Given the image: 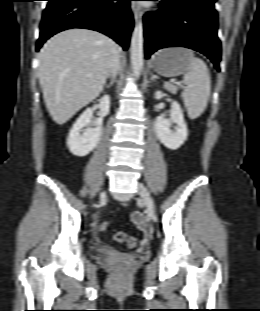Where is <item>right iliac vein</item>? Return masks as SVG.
<instances>
[{
	"label": "right iliac vein",
	"instance_id": "obj_1",
	"mask_svg": "<svg viewBox=\"0 0 260 311\" xmlns=\"http://www.w3.org/2000/svg\"><path fill=\"white\" fill-rule=\"evenodd\" d=\"M106 197V193L105 192H102V194L100 195V198H105Z\"/></svg>",
	"mask_w": 260,
	"mask_h": 311
}]
</instances>
